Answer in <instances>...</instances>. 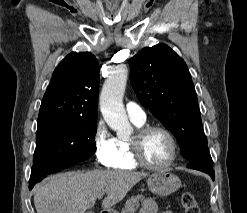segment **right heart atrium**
I'll return each instance as SVG.
<instances>
[{
    "label": "right heart atrium",
    "mask_w": 247,
    "mask_h": 213,
    "mask_svg": "<svg viewBox=\"0 0 247 213\" xmlns=\"http://www.w3.org/2000/svg\"><path fill=\"white\" fill-rule=\"evenodd\" d=\"M92 141L97 162L104 167H112L117 155L115 138L103 121L96 124Z\"/></svg>",
    "instance_id": "right-heart-atrium-1"
}]
</instances>
